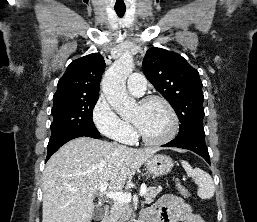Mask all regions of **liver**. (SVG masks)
<instances>
[{
  "label": "liver",
  "instance_id": "6515ba94",
  "mask_svg": "<svg viewBox=\"0 0 257 222\" xmlns=\"http://www.w3.org/2000/svg\"><path fill=\"white\" fill-rule=\"evenodd\" d=\"M159 149H133L80 137L63 145L43 173L42 222H91L94 195L106 182L120 191Z\"/></svg>",
  "mask_w": 257,
  "mask_h": 222
}]
</instances>
